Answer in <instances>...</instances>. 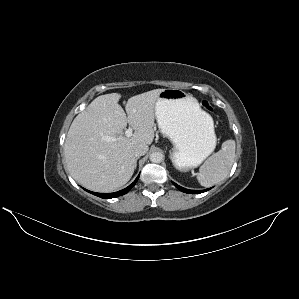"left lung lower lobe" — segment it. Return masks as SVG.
Wrapping results in <instances>:
<instances>
[{
    "label": "left lung lower lobe",
    "mask_w": 299,
    "mask_h": 299,
    "mask_svg": "<svg viewBox=\"0 0 299 299\" xmlns=\"http://www.w3.org/2000/svg\"><path fill=\"white\" fill-rule=\"evenodd\" d=\"M173 184H174L180 191H182V192H184V193H203V192L209 190V189H206V190H189V189H185V188H183V187L177 185V184L174 183V182H173Z\"/></svg>",
    "instance_id": "0a47b994"
}]
</instances>
